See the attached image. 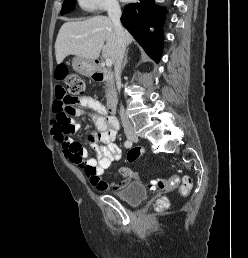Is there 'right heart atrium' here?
I'll use <instances>...</instances> for the list:
<instances>
[{
    "label": "right heart atrium",
    "mask_w": 248,
    "mask_h": 258,
    "mask_svg": "<svg viewBox=\"0 0 248 258\" xmlns=\"http://www.w3.org/2000/svg\"><path fill=\"white\" fill-rule=\"evenodd\" d=\"M80 7L88 12L112 11L118 8L117 0H78Z\"/></svg>",
    "instance_id": "d8ad5b80"
}]
</instances>
